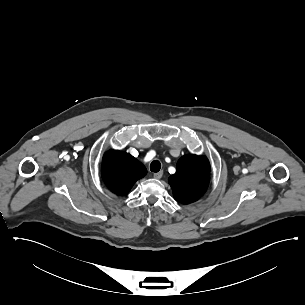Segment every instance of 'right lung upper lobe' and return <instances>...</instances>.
<instances>
[{"instance_id": "cb5924a9", "label": "right lung upper lobe", "mask_w": 305, "mask_h": 305, "mask_svg": "<svg viewBox=\"0 0 305 305\" xmlns=\"http://www.w3.org/2000/svg\"><path fill=\"white\" fill-rule=\"evenodd\" d=\"M101 173L109 190L117 195H125L137 180L146 175L147 170L130 154L109 151L103 157Z\"/></svg>"}]
</instances>
